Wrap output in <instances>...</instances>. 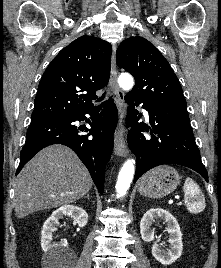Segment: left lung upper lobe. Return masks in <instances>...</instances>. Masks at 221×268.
Masks as SVG:
<instances>
[{
    "label": "left lung upper lobe",
    "instance_id": "1",
    "mask_svg": "<svg viewBox=\"0 0 221 268\" xmlns=\"http://www.w3.org/2000/svg\"><path fill=\"white\" fill-rule=\"evenodd\" d=\"M116 62L135 78L126 95L143 103L187 109L179 80L158 49L143 37L124 40L117 49Z\"/></svg>",
    "mask_w": 221,
    "mask_h": 268
}]
</instances>
